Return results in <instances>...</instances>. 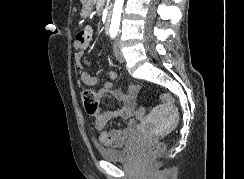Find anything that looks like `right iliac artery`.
<instances>
[{"label": "right iliac artery", "instance_id": "obj_1", "mask_svg": "<svg viewBox=\"0 0 244 179\" xmlns=\"http://www.w3.org/2000/svg\"><path fill=\"white\" fill-rule=\"evenodd\" d=\"M116 35H117L116 32H111V33H110L111 38H115Z\"/></svg>", "mask_w": 244, "mask_h": 179}]
</instances>
